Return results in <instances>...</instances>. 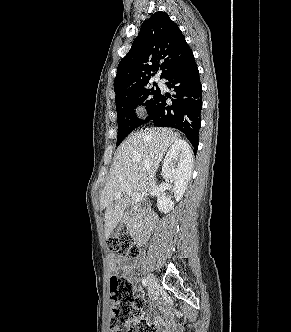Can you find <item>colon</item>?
<instances>
[{
    "label": "colon",
    "instance_id": "obj_1",
    "mask_svg": "<svg viewBox=\"0 0 291 332\" xmlns=\"http://www.w3.org/2000/svg\"><path fill=\"white\" fill-rule=\"evenodd\" d=\"M107 247L117 256L128 260L136 258L139 254L136 240L126 232L109 237ZM109 289L112 304L111 332H155L154 325L142 317L143 300L135 295L127 278L112 276Z\"/></svg>",
    "mask_w": 291,
    "mask_h": 332
}]
</instances>
